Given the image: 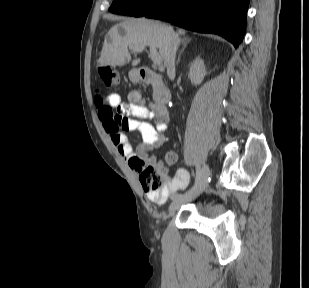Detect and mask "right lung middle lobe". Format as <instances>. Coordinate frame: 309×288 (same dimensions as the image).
<instances>
[{
	"mask_svg": "<svg viewBox=\"0 0 309 288\" xmlns=\"http://www.w3.org/2000/svg\"><path fill=\"white\" fill-rule=\"evenodd\" d=\"M165 0H114L109 11L115 14L140 17L161 5Z\"/></svg>",
	"mask_w": 309,
	"mask_h": 288,
	"instance_id": "right-lung-middle-lobe-1",
	"label": "right lung middle lobe"
}]
</instances>
